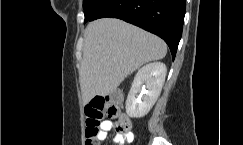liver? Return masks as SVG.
<instances>
[{
    "label": "liver",
    "mask_w": 243,
    "mask_h": 145,
    "mask_svg": "<svg viewBox=\"0 0 243 145\" xmlns=\"http://www.w3.org/2000/svg\"><path fill=\"white\" fill-rule=\"evenodd\" d=\"M166 53L162 39L119 19L89 23L79 72L84 104L96 95L110 94L128 75Z\"/></svg>",
    "instance_id": "liver-1"
}]
</instances>
